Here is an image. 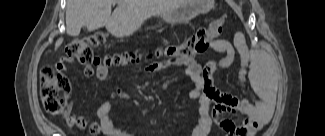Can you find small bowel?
<instances>
[{"instance_id":"small-bowel-1","label":"small bowel","mask_w":325,"mask_h":136,"mask_svg":"<svg viewBox=\"0 0 325 136\" xmlns=\"http://www.w3.org/2000/svg\"><path fill=\"white\" fill-rule=\"evenodd\" d=\"M213 34L208 40V49L222 54L220 58L211 60L205 65L196 61L169 62L165 65H157L150 68V72L174 65L185 66L183 78L190 81L194 88L181 100L182 103L197 102L199 105V120L192 131V136H206L214 122L229 136H250L261 126L266 125L271 118L274 94L273 77L270 73L271 62L265 52L261 50L250 51L241 32H236L233 40L218 38ZM240 59V69L237 74L239 85L243 88L244 96L220 91L213 82V75L219 71L228 69L233 65L236 57ZM58 62L55 67L56 80L64 91V98H73L75 87L71 86L70 74L65 73V64ZM86 76L96 75L100 81H109L111 74L103 65H97L95 69L85 67ZM178 76L165 79L161 88L167 90L178 82ZM250 85L251 91L247 89ZM118 97L129 100V95L120 87H116L111 98L104 101L97 110V122L88 123L83 117L76 115L72 108L66 112L68 123L89 135L103 133L106 136H129L118 130L112 119L111 99ZM214 104V106H213ZM225 114L237 115L241 118L239 123L224 117Z\"/></svg>"}]
</instances>
